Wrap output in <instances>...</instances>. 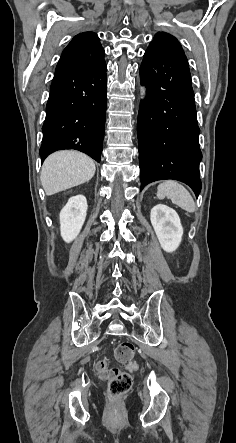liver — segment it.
Segmentation results:
<instances>
[{"instance_id": "1", "label": "liver", "mask_w": 236, "mask_h": 443, "mask_svg": "<svg viewBox=\"0 0 236 443\" xmlns=\"http://www.w3.org/2000/svg\"><path fill=\"white\" fill-rule=\"evenodd\" d=\"M95 170L94 161L87 155L73 150L58 151L44 161L40 180L50 196L91 180Z\"/></svg>"}]
</instances>
